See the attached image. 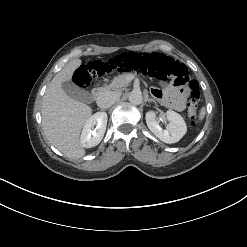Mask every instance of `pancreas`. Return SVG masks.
<instances>
[{"mask_svg":"<svg viewBox=\"0 0 247 247\" xmlns=\"http://www.w3.org/2000/svg\"><path fill=\"white\" fill-rule=\"evenodd\" d=\"M128 76L129 74H122L117 77H115L112 81V83L108 86H106L103 90L107 91L110 89L121 91L123 90L128 84Z\"/></svg>","mask_w":247,"mask_h":247,"instance_id":"obj_1","label":"pancreas"}]
</instances>
